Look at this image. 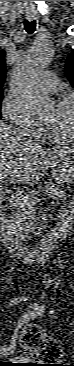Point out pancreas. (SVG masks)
I'll use <instances>...</instances> for the list:
<instances>
[{
  "label": "pancreas",
  "mask_w": 74,
  "mask_h": 366,
  "mask_svg": "<svg viewBox=\"0 0 74 366\" xmlns=\"http://www.w3.org/2000/svg\"><path fill=\"white\" fill-rule=\"evenodd\" d=\"M24 195H28L29 199L27 201L18 196L9 198L11 207L16 210L11 217L9 229L12 234L20 237L22 241L27 242L31 240L30 233L38 235L41 229L34 212V206L39 201V196L45 195L53 200H61L62 202H66L68 196L64 190L52 182H45L43 185H39Z\"/></svg>",
  "instance_id": "obj_1"
}]
</instances>
